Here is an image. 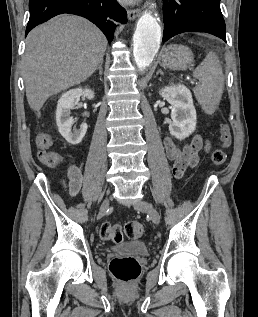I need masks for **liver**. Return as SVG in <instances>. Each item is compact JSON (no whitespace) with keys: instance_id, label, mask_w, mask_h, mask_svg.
<instances>
[{"instance_id":"liver-1","label":"liver","mask_w":258,"mask_h":317,"mask_svg":"<svg viewBox=\"0 0 258 317\" xmlns=\"http://www.w3.org/2000/svg\"><path fill=\"white\" fill-rule=\"evenodd\" d=\"M106 46L107 38L95 24L72 14H60L29 32L23 76L28 104L37 116L49 96L93 74Z\"/></svg>"}]
</instances>
